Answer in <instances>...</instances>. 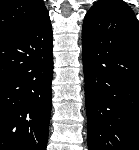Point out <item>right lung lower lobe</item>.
Returning a JSON list of instances; mask_svg holds the SVG:
<instances>
[{"label": "right lung lower lobe", "mask_w": 139, "mask_h": 150, "mask_svg": "<svg viewBox=\"0 0 139 150\" xmlns=\"http://www.w3.org/2000/svg\"><path fill=\"white\" fill-rule=\"evenodd\" d=\"M53 77L48 12L0 38V150H46Z\"/></svg>", "instance_id": "98d812e1"}]
</instances>
